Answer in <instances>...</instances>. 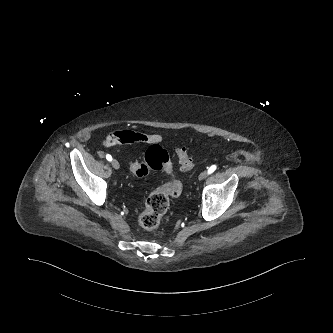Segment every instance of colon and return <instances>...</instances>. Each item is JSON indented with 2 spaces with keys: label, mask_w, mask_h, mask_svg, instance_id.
Returning a JSON list of instances; mask_svg holds the SVG:
<instances>
[{
  "label": "colon",
  "mask_w": 333,
  "mask_h": 333,
  "mask_svg": "<svg viewBox=\"0 0 333 333\" xmlns=\"http://www.w3.org/2000/svg\"><path fill=\"white\" fill-rule=\"evenodd\" d=\"M111 144L112 142L108 139L106 145ZM175 153L183 171L193 167V159L184 147L177 148ZM129 169L138 177L146 176L151 170H163L168 177L163 185L149 195L145 207L137 217V222L142 228L154 229L168 210L170 197H177L181 194L182 184L173 174V167L167 151L157 144L151 145L142 159H131Z\"/></svg>",
  "instance_id": "1"
}]
</instances>
